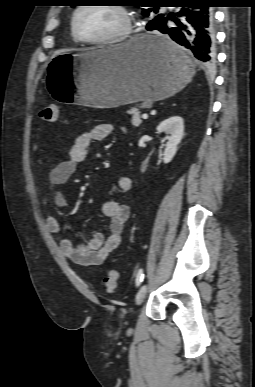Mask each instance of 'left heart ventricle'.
<instances>
[{
    "label": "left heart ventricle",
    "instance_id": "obj_1",
    "mask_svg": "<svg viewBox=\"0 0 255 387\" xmlns=\"http://www.w3.org/2000/svg\"><path fill=\"white\" fill-rule=\"evenodd\" d=\"M123 25L122 16L107 6H90L77 17V27L81 35L89 39L107 37L116 33Z\"/></svg>",
    "mask_w": 255,
    "mask_h": 387
}]
</instances>
